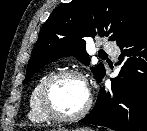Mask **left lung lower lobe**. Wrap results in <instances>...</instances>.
I'll return each instance as SVG.
<instances>
[{
	"instance_id": "obj_1",
	"label": "left lung lower lobe",
	"mask_w": 147,
	"mask_h": 131,
	"mask_svg": "<svg viewBox=\"0 0 147 131\" xmlns=\"http://www.w3.org/2000/svg\"><path fill=\"white\" fill-rule=\"evenodd\" d=\"M121 71L111 89L100 90L92 111L82 123L116 131H147V27L118 45Z\"/></svg>"
}]
</instances>
